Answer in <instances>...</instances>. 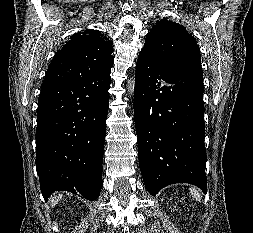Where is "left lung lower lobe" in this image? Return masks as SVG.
<instances>
[{"instance_id":"1","label":"left lung lower lobe","mask_w":253,"mask_h":233,"mask_svg":"<svg viewBox=\"0 0 253 233\" xmlns=\"http://www.w3.org/2000/svg\"><path fill=\"white\" fill-rule=\"evenodd\" d=\"M134 117L139 167L152 195L174 183L207 189L202 75L165 74L143 51L136 63Z\"/></svg>"}]
</instances>
